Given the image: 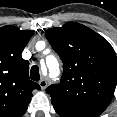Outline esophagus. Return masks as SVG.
I'll use <instances>...</instances> for the list:
<instances>
[{
	"mask_svg": "<svg viewBox=\"0 0 117 117\" xmlns=\"http://www.w3.org/2000/svg\"><path fill=\"white\" fill-rule=\"evenodd\" d=\"M39 85L41 87L42 90H44L47 86V80L45 78H42L40 81H39Z\"/></svg>",
	"mask_w": 117,
	"mask_h": 117,
	"instance_id": "34e87169",
	"label": "esophagus"
}]
</instances>
